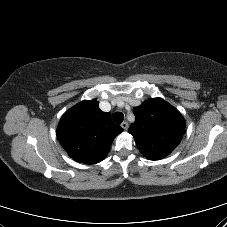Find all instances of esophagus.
<instances>
[{"label":"esophagus","mask_w":227,"mask_h":227,"mask_svg":"<svg viewBox=\"0 0 227 227\" xmlns=\"http://www.w3.org/2000/svg\"><path fill=\"white\" fill-rule=\"evenodd\" d=\"M121 127L124 129V130H127L128 129V123L126 121L122 122L121 123Z\"/></svg>","instance_id":"34e87169"}]
</instances>
